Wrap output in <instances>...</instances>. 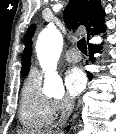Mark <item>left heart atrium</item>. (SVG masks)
<instances>
[{
  "label": "left heart atrium",
  "instance_id": "1",
  "mask_svg": "<svg viewBox=\"0 0 116 134\" xmlns=\"http://www.w3.org/2000/svg\"><path fill=\"white\" fill-rule=\"evenodd\" d=\"M85 73L78 67L69 69L65 74V86L70 96L79 95L86 86Z\"/></svg>",
  "mask_w": 116,
  "mask_h": 134
}]
</instances>
